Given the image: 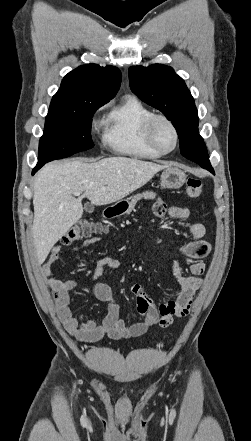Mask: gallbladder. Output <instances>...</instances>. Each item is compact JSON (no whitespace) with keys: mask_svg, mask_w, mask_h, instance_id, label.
<instances>
[{"mask_svg":"<svg viewBox=\"0 0 251 441\" xmlns=\"http://www.w3.org/2000/svg\"><path fill=\"white\" fill-rule=\"evenodd\" d=\"M85 211L88 213H92L94 211V205L91 203L85 204Z\"/></svg>","mask_w":251,"mask_h":441,"instance_id":"bac80fb5","label":"gallbladder"}]
</instances>
